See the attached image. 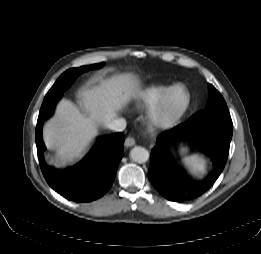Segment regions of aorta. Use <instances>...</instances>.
Returning <instances> with one entry per match:
<instances>
[{
    "instance_id": "762f6f07",
    "label": "aorta",
    "mask_w": 261,
    "mask_h": 254,
    "mask_svg": "<svg viewBox=\"0 0 261 254\" xmlns=\"http://www.w3.org/2000/svg\"><path fill=\"white\" fill-rule=\"evenodd\" d=\"M130 157L134 162L142 164L149 160V152L145 148L137 146L131 150Z\"/></svg>"
}]
</instances>
